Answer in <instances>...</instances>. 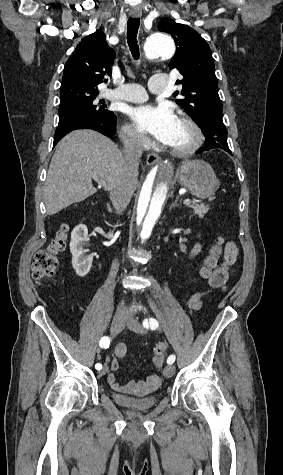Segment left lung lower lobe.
Listing matches in <instances>:
<instances>
[{"instance_id": "1", "label": "left lung lower lobe", "mask_w": 283, "mask_h": 475, "mask_svg": "<svg viewBox=\"0 0 283 475\" xmlns=\"http://www.w3.org/2000/svg\"><path fill=\"white\" fill-rule=\"evenodd\" d=\"M206 136L205 147L199 149L197 153L210 149H222L231 154L227 143V130L222 120V113L213 112L206 116L199 125Z\"/></svg>"}]
</instances>
